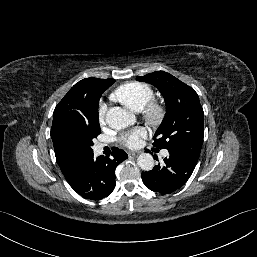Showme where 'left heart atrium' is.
Listing matches in <instances>:
<instances>
[{"mask_svg":"<svg viewBox=\"0 0 257 257\" xmlns=\"http://www.w3.org/2000/svg\"><path fill=\"white\" fill-rule=\"evenodd\" d=\"M145 136V128L137 127L131 131L122 134L120 137V142L129 148H135L140 144L141 139H143Z\"/></svg>","mask_w":257,"mask_h":257,"instance_id":"left-heart-atrium-1","label":"left heart atrium"}]
</instances>
